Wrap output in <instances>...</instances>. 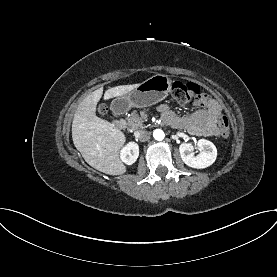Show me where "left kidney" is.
<instances>
[{"instance_id":"obj_1","label":"left kidney","mask_w":277,"mask_h":277,"mask_svg":"<svg viewBox=\"0 0 277 277\" xmlns=\"http://www.w3.org/2000/svg\"><path fill=\"white\" fill-rule=\"evenodd\" d=\"M201 152L194 155V148L191 143H182L179 147L180 155L183 162L189 167L203 169L212 165L217 157V149L215 145L205 139H200L195 142Z\"/></svg>"}]
</instances>
